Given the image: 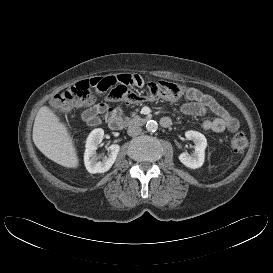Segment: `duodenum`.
<instances>
[{
  "mask_svg": "<svg viewBox=\"0 0 273 273\" xmlns=\"http://www.w3.org/2000/svg\"><path fill=\"white\" fill-rule=\"evenodd\" d=\"M106 119L110 129L115 131L121 130L127 125L144 126L149 122L147 116H134L128 119H123L117 115H106ZM161 125L167 128L171 125V122L167 119H162Z\"/></svg>",
  "mask_w": 273,
  "mask_h": 273,
  "instance_id": "410a0bca",
  "label": "duodenum"
}]
</instances>
